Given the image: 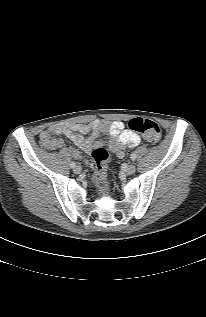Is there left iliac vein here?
Segmentation results:
<instances>
[{"label": "left iliac vein", "mask_w": 206, "mask_h": 317, "mask_svg": "<svg viewBox=\"0 0 206 317\" xmlns=\"http://www.w3.org/2000/svg\"><path fill=\"white\" fill-rule=\"evenodd\" d=\"M136 171V166L134 164H129L125 169L124 173L126 175H132Z\"/></svg>", "instance_id": "obj_1"}]
</instances>
